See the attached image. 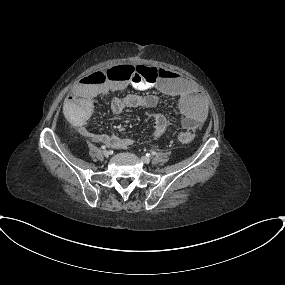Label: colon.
<instances>
[{"label":"colon","mask_w":285,"mask_h":285,"mask_svg":"<svg viewBox=\"0 0 285 285\" xmlns=\"http://www.w3.org/2000/svg\"><path fill=\"white\" fill-rule=\"evenodd\" d=\"M159 71L156 68L145 66H131L123 65L116 68L108 69L105 73L101 71H94L82 76L83 81L93 84H104L108 79H122L132 83L142 82L143 79L149 82L157 80ZM192 140L190 133H182L179 136V142L187 144Z\"/></svg>","instance_id":"obj_1"}]
</instances>
